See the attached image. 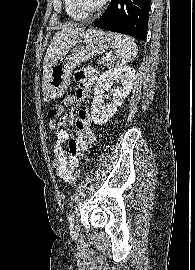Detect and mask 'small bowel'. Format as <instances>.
<instances>
[{"instance_id": "1", "label": "small bowel", "mask_w": 195, "mask_h": 270, "mask_svg": "<svg viewBox=\"0 0 195 270\" xmlns=\"http://www.w3.org/2000/svg\"><path fill=\"white\" fill-rule=\"evenodd\" d=\"M97 79L95 69H85L77 72L76 80L78 86L73 95H68L63 100L64 106H73L83 100L93 83ZM67 120L75 124L74 137L70 139L65 129H58L57 120H49V129L57 132V139L54 145L53 167L58 177L67 180L72 172L79 166V157L83 155L88 146L95 140L92 130V118L87 106H83L78 112L71 111ZM68 143L70 156H67L63 144Z\"/></svg>"}]
</instances>
